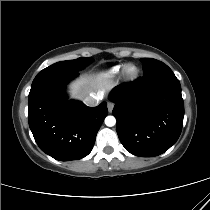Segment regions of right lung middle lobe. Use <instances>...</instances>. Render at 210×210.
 <instances>
[{"mask_svg":"<svg viewBox=\"0 0 210 210\" xmlns=\"http://www.w3.org/2000/svg\"><path fill=\"white\" fill-rule=\"evenodd\" d=\"M92 61H93V58H84V57L78 58L76 60L61 61V62L52 64L51 66L43 69L42 71L64 70V71L76 72L83 69Z\"/></svg>","mask_w":210,"mask_h":210,"instance_id":"dd1d6c3e","label":"right lung middle lobe"}]
</instances>
